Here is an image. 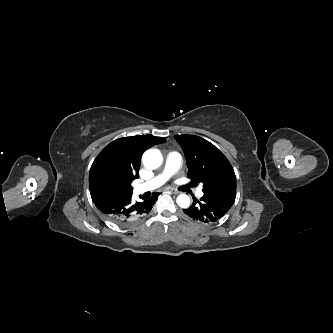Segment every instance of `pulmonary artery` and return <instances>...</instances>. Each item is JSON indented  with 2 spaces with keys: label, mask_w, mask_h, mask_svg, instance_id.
Instances as JSON below:
<instances>
[{
  "label": "pulmonary artery",
  "mask_w": 333,
  "mask_h": 333,
  "mask_svg": "<svg viewBox=\"0 0 333 333\" xmlns=\"http://www.w3.org/2000/svg\"><path fill=\"white\" fill-rule=\"evenodd\" d=\"M181 163H182V158L178 152L172 151L168 153L163 170L152 179L137 184L134 187L135 194L139 195L144 192L154 190L163 185L166 181L170 179L172 175H174L178 171V169L181 166ZM196 195L198 197H202L203 196L202 190L199 189L196 192Z\"/></svg>",
  "instance_id": "obj_1"
}]
</instances>
